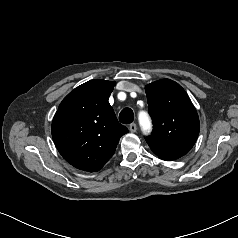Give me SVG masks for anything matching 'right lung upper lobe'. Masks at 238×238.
Wrapping results in <instances>:
<instances>
[{"label":"right lung upper lobe","instance_id":"right-lung-upper-lobe-1","mask_svg":"<svg viewBox=\"0 0 238 238\" xmlns=\"http://www.w3.org/2000/svg\"><path fill=\"white\" fill-rule=\"evenodd\" d=\"M114 86L99 79L78 86L63 99L53 118L52 137L59 153L80 170H100L128 132L108 102Z\"/></svg>","mask_w":238,"mask_h":238}]
</instances>
